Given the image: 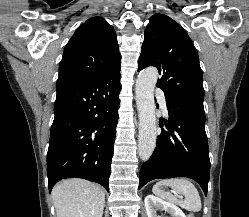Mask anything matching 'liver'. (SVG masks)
Wrapping results in <instances>:
<instances>
[{"instance_id":"liver-1","label":"liver","mask_w":249,"mask_h":217,"mask_svg":"<svg viewBox=\"0 0 249 217\" xmlns=\"http://www.w3.org/2000/svg\"><path fill=\"white\" fill-rule=\"evenodd\" d=\"M57 217H102L105 206L103 190L86 180L67 179L52 190Z\"/></svg>"}]
</instances>
